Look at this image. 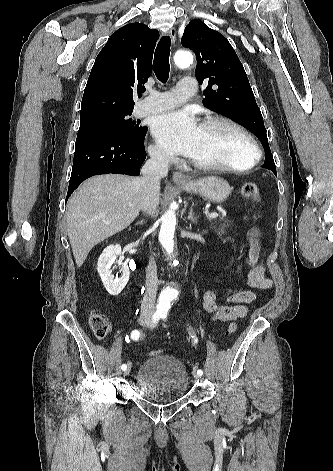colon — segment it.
Masks as SVG:
<instances>
[{
  "label": "colon",
  "mask_w": 333,
  "mask_h": 471,
  "mask_svg": "<svg viewBox=\"0 0 333 471\" xmlns=\"http://www.w3.org/2000/svg\"><path fill=\"white\" fill-rule=\"evenodd\" d=\"M242 196L253 200V201H260V191L258 186L255 183H245L241 188ZM90 326L94 335L98 339H104L111 330L110 324L106 318H104L99 313L93 312L90 316ZM237 330V324L232 322L228 326V331L230 333H234ZM150 355H159L161 352L159 350H154L149 353Z\"/></svg>",
  "instance_id": "obj_1"
}]
</instances>
